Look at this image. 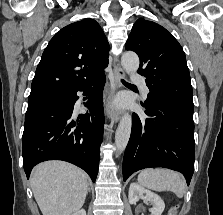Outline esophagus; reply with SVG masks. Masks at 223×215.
I'll return each instance as SVG.
<instances>
[{
  "label": "esophagus",
  "mask_w": 223,
  "mask_h": 215,
  "mask_svg": "<svg viewBox=\"0 0 223 215\" xmlns=\"http://www.w3.org/2000/svg\"><path fill=\"white\" fill-rule=\"evenodd\" d=\"M124 76L125 74L122 68L114 67V80H115L116 89L121 87L120 80L124 78ZM106 113H107V116L114 122H118L121 118V111L118 110L115 106L114 92L108 98V102L106 105Z\"/></svg>",
  "instance_id": "obj_1"
}]
</instances>
